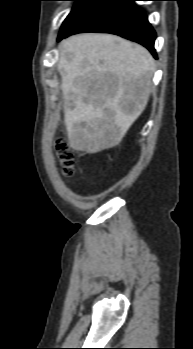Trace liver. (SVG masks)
I'll return each instance as SVG.
<instances>
[{
	"instance_id": "liver-1",
	"label": "liver",
	"mask_w": 193,
	"mask_h": 349,
	"mask_svg": "<svg viewBox=\"0 0 193 349\" xmlns=\"http://www.w3.org/2000/svg\"><path fill=\"white\" fill-rule=\"evenodd\" d=\"M58 70L69 145L97 153L118 145L145 109L155 61L137 43L85 33L61 43ZM123 101L131 102L132 110H125Z\"/></svg>"
}]
</instances>
